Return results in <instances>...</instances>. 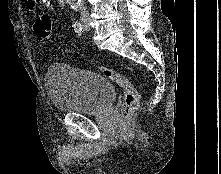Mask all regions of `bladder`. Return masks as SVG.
<instances>
[{"label":"bladder","instance_id":"bladder-1","mask_svg":"<svg viewBox=\"0 0 221 174\" xmlns=\"http://www.w3.org/2000/svg\"><path fill=\"white\" fill-rule=\"evenodd\" d=\"M45 85L51 103L62 112L98 114L115 99V89L104 75L65 63L48 67Z\"/></svg>","mask_w":221,"mask_h":174}]
</instances>
